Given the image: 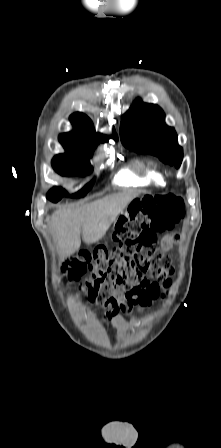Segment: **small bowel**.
Wrapping results in <instances>:
<instances>
[{
    "label": "small bowel",
    "instance_id": "1",
    "mask_svg": "<svg viewBox=\"0 0 221 448\" xmlns=\"http://www.w3.org/2000/svg\"><path fill=\"white\" fill-rule=\"evenodd\" d=\"M180 240V235L169 233L163 237L160 243L161 250L168 252L172 246ZM99 306L105 311V320L117 326L120 330V338L123 332L127 331L133 322L126 321L120 316V312H127L132 310V305L127 301L123 292L119 289L106 292L101 295Z\"/></svg>",
    "mask_w": 221,
    "mask_h": 448
}]
</instances>
